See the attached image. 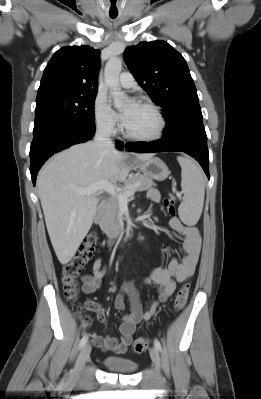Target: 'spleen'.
<instances>
[{
	"label": "spleen",
	"instance_id": "obj_1",
	"mask_svg": "<svg viewBox=\"0 0 261 399\" xmlns=\"http://www.w3.org/2000/svg\"><path fill=\"white\" fill-rule=\"evenodd\" d=\"M181 166V188L184 194L179 217L186 225H195L201 214L205 196V179L200 167L187 157H177Z\"/></svg>",
	"mask_w": 261,
	"mask_h": 399
}]
</instances>
